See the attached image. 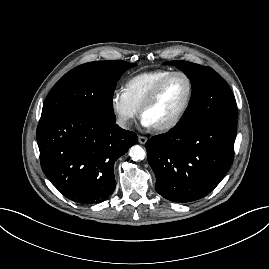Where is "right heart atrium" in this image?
I'll return each instance as SVG.
<instances>
[{
    "instance_id": "d8ad5b80",
    "label": "right heart atrium",
    "mask_w": 269,
    "mask_h": 269,
    "mask_svg": "<svg viewBox=\"0 0 269 269\" xmlns=\"http://www.w3.org/2000/svg\"><path fill=\"white\" fill-rule=\"evenodd\" d=\"M110 106L118 126L128 129L137 116L138 110L130 103L123 90H115L112 93Z\"/></svg>"
}]
</instances>
